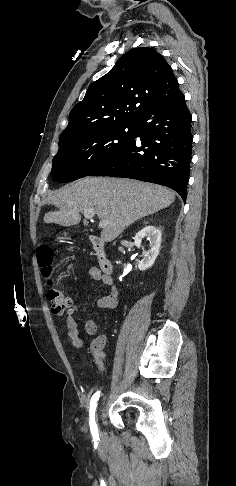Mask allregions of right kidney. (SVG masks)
Wrapping results in <instances>:
<instances>
[{
    "label": "right kidney",
    "mask_w": 236,
    "mask_h": 486,
    "mask_svg": "<svg viewBox=\"0 0 236 486\" xmlns=\"http://www.w3.org/2000/svg\"><path fill=\"white\" fill-rule=\"evenodd\" d=\"M146 238L149 240V249L143 251V259L139 262L138 269L145 271L150 268L158 254L161 245V232L154 226H146L140 230L134 237L136 247L140 248L142 240Z\"/></svg>",
    "instance_id": "right-kidney-1"
}]
</instances>
